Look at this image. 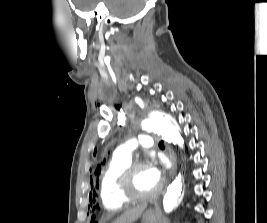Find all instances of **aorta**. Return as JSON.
Listing matches in <instances>:
<instances>
[{
    "instance_id": "aorta-1",
    "label": "aorta",
    "mask_w": 267,
    "mask_h": 223,
    "mask_svg": "<svg viewBox=\"0 0 267 223\" xmlns=\"http://www.w3.org/2000/svg\"><path fill=\"white\" fill-rule=\"evenodd\" d=\"M142 128L157 133L169 143L178 145L181 148L184 145L180 128L175 119L170 116L162 114L152 115L142 122ZM182 186V176L178 174L175 180L167 187L166 194L163 198V208L166 213L171 212L180 204L183 198Z\"/></svg>"
}]
</instances>
